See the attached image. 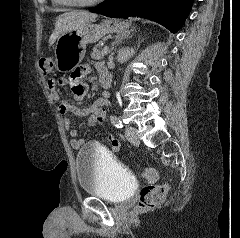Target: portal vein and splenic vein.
Here are the masks:
<instances>
[{
	"label": "portal vein and splenic vein",
	"mask_w": 240,
	"mask_h": 238,
	"mask_svg": "<svg viewBox=\"0 0 240 238\" xmlns=\"http://www.w3.org/2000/svg\"><path fill=\"white\" fill-rule=\"evenodd\" d=\"M102 51H103L104 54H107L108 51H109V47L105 46Z\"/></svg>",
	"instance_id": "1"
}]
</instances>
